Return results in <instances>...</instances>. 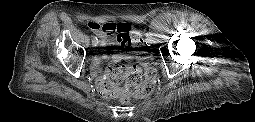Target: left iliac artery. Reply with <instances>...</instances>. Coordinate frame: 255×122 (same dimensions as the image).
Returning a JSON list of instances; mask_svg holds the SVG:
<instances>
[{
  "mask_svg": "<svg viewBox=\"0 0 255 122\" xmlns=\"http://www.w3.org/2000/svg\"><path fill=\"white\" fill-rule=\"evenodd\" d=\"M146 44H147L148 46H150V45L152 44V40H151L150 38H147V39H146Z\"/></svg>",
  "mask_w": 255,
  "mask_h": 122,
  "instance_id": "obj_1",
  "label": "left iliac artery"
}]
</instances>
